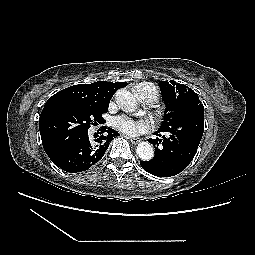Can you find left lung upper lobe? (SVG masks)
<instances>
[{
    "instance_id": "left-lung-upper-lobe-1",
    "label": "left lung upper lobe",
    "mask_w": 255,
    "mask_h": 255,
    "mask_svg": "<svg viewBox=\"0 0 255 255\" xmlns=\"http://www.w3.org/2000/svg\"><path fill=\"white\" fill-rule=\"evenodd\" d=\"M160 89L166 105L161 127H168L180 121H193L196 113L204 109L198 95L189 87L175 81L160 82Z\"/></svg>"
}]
</instances>
